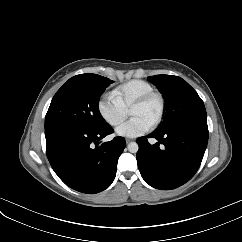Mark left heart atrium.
I'll return each mask as SVG.
<instances>
[{"instance_id":"obj_1","label":"left heart atrium","mask_w":242,"mask_h":242,"mask_svg":"<svg viewBox=\"0 0 242 242\" xmlns=\"http://www.w3.org/2000/svg\"><path fill=\"white\" fill-rule=\"evenodd\" d=\"M151 125L139 117H132L116 128V134L122 137H138L150 129Z\"/></svg>"}]
</instances>
